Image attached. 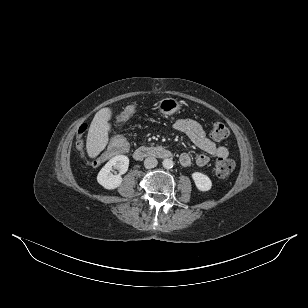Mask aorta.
<instances>
[{
    "label": "aorta",
    "instance_id": "obj_1",
    "mask_svg": "<svg viewBox=\"0 0 308 308\" xmlns=\"http://www.w3.org/2000/svg\"><path fill=\"white\" fill-rule=\"evenodd\" d=\"M162 165L165 169H171L174 165V162L171 159H164Z\"/></svg>",
    "mask_w": 308,
    "mask_h": 308
}]
</instances>
